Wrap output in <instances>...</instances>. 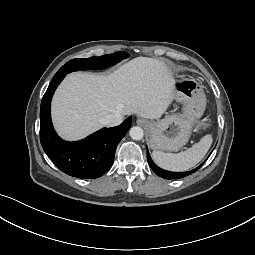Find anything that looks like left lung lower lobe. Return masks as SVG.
Instances as JSON below:
<instances>
[{"mask_svg": "<svg viewBox=\"0 0 255 255\" xmlns=\"http://www.w3.org/2000/svg\"><path fill=\"white\" fill-rule=\"evenodd\" d=\"M147 160H148V164L151 167V169L160 177L165 178V179H180L183 178L185 176H188L192 173H194L195 171H197L200 167L198 166L197 168L191 170V171H187V172H170V171H166L163 170L159 167H157L154 162L152 161L148 151H147Z\"/></svg>", "mask_w": 255, "mask_h": 255, "instance_id": "0a47b994", "label": "left lung lower lobe"}]
</instances>
